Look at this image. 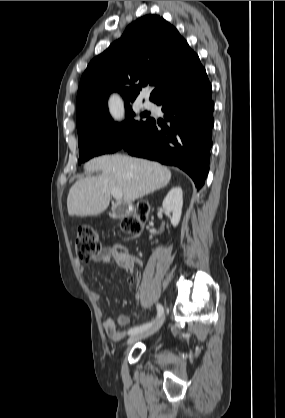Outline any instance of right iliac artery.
<instances>
[{
  "label": "right iliac artery",
  "mask_w": 285,
  "mask_h": 418,
  "mask_svg": "<svg viewBox=\"0 0 285 418\" xmlns=\"http://www.w3.org/2000/svg\"><path fill=\"white\" fill-rule=\"evenodd\" d=\"M156 308H157V318H159L163 314L164 310H163V307H162L161 304H157ZM154 322H155V320L150 322V323H146V324H143V325H140V326L133 327L128 331V334L132 335L134 333L144 331V330L148 329Z\"/></svg>",
  "instance_id": "1"
}]
</instances>
